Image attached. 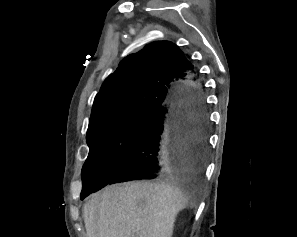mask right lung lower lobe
Instances as JSON below:
<instances>
[{"label":"right lung lower lobe","mask_w":297,"mask_h":237,"mask_svg":"<svg viewBox=\"0 0 297 237\" xmlns=\"http://www.w3.org/2000/svg\"><path fill=\"white\" fill-rule=\"evenodd\" d=\"M208 118L201 83L175 87L167 104L150 114L143 130L104 186L132 180L200 173L207 161ZM103 186V187H104Z\"/></svg>","instance_id":"98d812e1"}]
</instances>
